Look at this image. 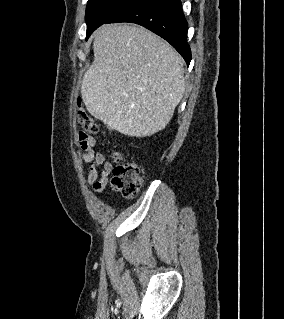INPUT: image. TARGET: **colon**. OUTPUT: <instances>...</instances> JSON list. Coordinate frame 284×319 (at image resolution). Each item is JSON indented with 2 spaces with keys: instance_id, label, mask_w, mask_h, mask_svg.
Segmentation results:
<instances>
[{
  "instance_id": "5ec220e1",
  "label": "colon",
  "mask_w": 284,
  "mask_h": 319,
  "mask_svg": "<svg viewBox=\"0 0 284 319\" xmlns=\"http://www.w3.org/2000/svg\"><path fill=\"white\" fill-rule=\"evenodd\" d=\"M78 122L85 132L93 134L99 132L97 123L84 111L78 112ZM112 158L115 162L111 180L112 188L125 198H134L142 184L140 168L118 152H114Z\"/></svg>"
}]
</instances>
